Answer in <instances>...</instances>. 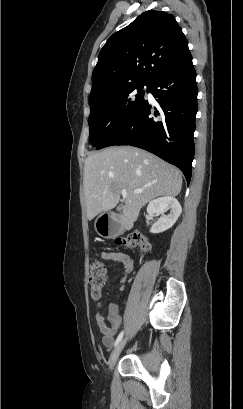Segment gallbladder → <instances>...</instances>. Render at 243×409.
Listing matches in <instances>:
<instances>
[{
	"label": "gallbladder",
	"instance_id": "gallbladder-1",
	"mask_svg": "<svg viewBox=\"0 0 243 409\" xmlns=\"http://www.w3.org/2000/svg\"><path fill=\"white\" fill-rule=\"evenodd\" d=\"M122 209V206L120 205L119 207H118V210H121Z\"/></svg>",
	"mask_w": 243,
	"mask_h": 409
}]
</instances>
